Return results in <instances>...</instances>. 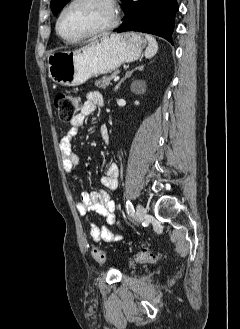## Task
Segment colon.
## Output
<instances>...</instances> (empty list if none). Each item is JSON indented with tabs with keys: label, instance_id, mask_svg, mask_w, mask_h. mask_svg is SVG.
<instances>
[{
	"label": "colon",
	"instance_id": "obj_1",
	"mask_svg": "<svg viewBox=\"0 0 240 329\" xmlns=\"http://www.w3.org/2000/svg\"><path fill=\"white\" fill-rule=\"evenodd\" d=\"M55 107L58 110L60 120L64 122L72 121L82 109V99L80 96L62 92L55 97ZM91 254L98 264L106 262L105 254L97 247H92ZM160 259L158 254L142 251L134 257L135 263H155Z\"/></svg>",
	"mask_w": 240,
	"mask_h": 329
}]
</instances>
